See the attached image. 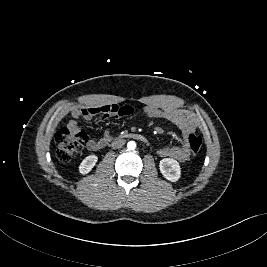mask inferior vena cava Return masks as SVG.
<instances>
[{
	"instance_id": "obj_1",
	"label": "inferior vena cava",
	"mask_w": 267,
	"mask_h": 267,
	"mask_svg": "<svg viewBox=\"0 0 267 267\" xmlns=\"http://www.w3.org/2000/svg\"><path fill=\"white\" fill-rule=\"evenodd\" d=\"M124 144H125V140L119 138L112 142V148L114 149L121 148Z\"/></svg>"
}]
</instances>
